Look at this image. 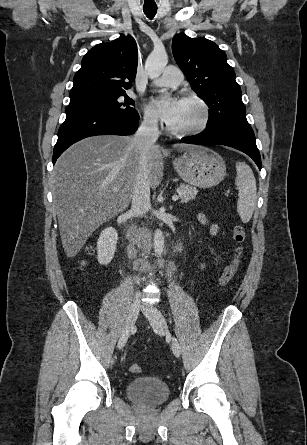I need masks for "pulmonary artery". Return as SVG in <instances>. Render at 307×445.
Segmentation results:
<instances>
[{
  "label": "pulmonary artery",
  "instance_id": "e3ab8cb5",
  "mask_svg": "<svg viewBox=\"0 0 307 445\" xmlns=\"http://www.w3.org/2000/svg\"><path fill=\"white\" fill-rule=\"evenodd\" d=\"M183 76L182 69L176 67H167L162 74L160 80L155 84L157 86H171L177 83H181Z\"/></svg>",
  "mask_w": 307,
  "mask_h": 445
}]
</instances>
